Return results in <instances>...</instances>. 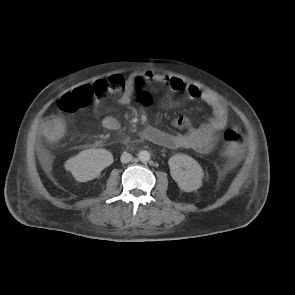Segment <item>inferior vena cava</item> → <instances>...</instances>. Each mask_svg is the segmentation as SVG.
<instances>
[{
  "label": "inferior vena cava",
  "mask_w": 295,
  "mask_h": 295,
  "mask_svg": "<svg viewBox=\"0 0 295 295\" xmlns=\"http://www.w3.org/2000/svg\"><path fill=\"white\" fill-rule=\"evenodd\" d=\"M132 158H133V157H132L131 154H129V153H123V154L121 155L120 160H121L122 163H128L129 161L132 160Z\"/></svg>",
  "instance_id": "inferior-vena-cava-1"
}]
</instances>
